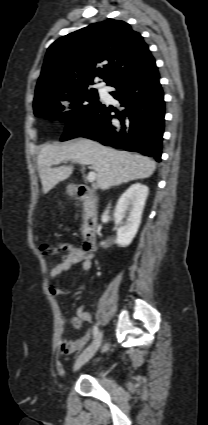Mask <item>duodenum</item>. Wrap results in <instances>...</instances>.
Returning a JSON list of instances; mask_svg holds the SVG:
<instances>
[{"label":"duodenum","mask_w":208,"mask_h":425,"mask_svg":"<svg viewBox=\"0 0 208 425\" xmlns=\"http://www.w3.org/2000/svg\"><path fill=\"white\" fill-rule=\"evenodd\" d=\"M73 192L83 204L84 226L82 248L87 252L94 251L97 241V198L92 189L87 185L77 184L74 186Z\"/></svg>","instance_id":"duodenum-1"}]
</instances>
